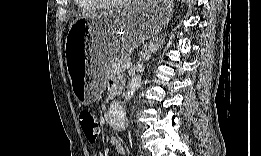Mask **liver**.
<instances>
[{
    "label": "liver",
    "instance_id": "obj_1",
    "mask_svg": "<svg viewBox=\"0 0 261 156\" xmlns=\"http://www.w3.org/2000/svg\"><path fill=\"white\" fill-rule=\"evenodd\" d=\"M112 14H113V12H102V13H100L99 15H97V14H93V15H91V16L86 15L84 18L95 17V16H108V15H112ZM77 20H79V18H77V19H75L73 22H71L70 27H71Z\"/></svg>",
    "mask_w": 261,
    "mask_h": 156
}]
</instances>
